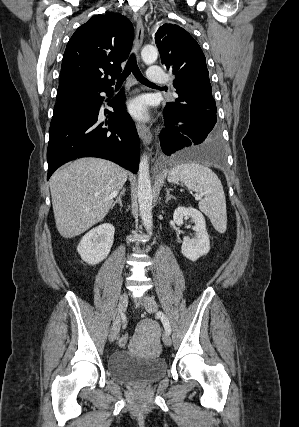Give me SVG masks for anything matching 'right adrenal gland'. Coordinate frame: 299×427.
Returning <instances> with one entry per match:
<instances>
[{
    "mask_svg": "<svg viewBox=\"0 0 299 427\" xmlns=\"http://www.w3.org/2000/svg\"><path fill=\"white\" fill-rule=\"evenodd\" d=\"M124 194H125V189L123 188V189L121 190V192L119 193V195L117 196L116 200L112 203V205H111V209H113V208H114V206H115V204H117V203H119V205H120L121 207H123V203H122V196H124Z\"/></svg>",
    "mask_w": 299,
    "mask_h": 427,
    "instance_id": "obj_1",
    "label": "right adrenal gland"
}]
</instances>
